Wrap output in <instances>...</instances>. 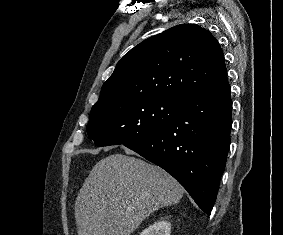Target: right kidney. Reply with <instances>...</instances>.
Listing matches in <instances>:
<instances>
[{"instance_id":"right-kidney-1","label":"right kidney","mask_w":283,"mask_h":235,"mask_svg":"<svg viewBox=\"0 0 283 235\" xmlns=\"http://www.w3.org/2000/svg\"><path fill=\"white\" fill-rule=\"evenodd\" d=\"M171 224L168 221H159L149 226L140 235H170Z\"/></svg>"}]
</instances>
